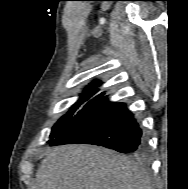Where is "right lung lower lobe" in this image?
Masks as SVG:
<instances>
[{"instance_id": "1", "label": "right lung lower lobe", "mask_w": 188, "mask_h": 189, "mask_svg": "<svg viewBox=\"0 0 188 189\" xmlns=\"http://www.w3.org/2000/svg\"><path fill=\"white\" fill-rule=\"evenodd\" d=\"M84 143L104 146L121 153L140 154L146 139L133 113L125 103L110 102L106 97L87 110L50 145Z\"/></svg>"}]
</instances>
